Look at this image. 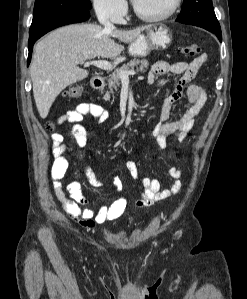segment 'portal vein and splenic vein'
Returning a JSON list of instances; mask_svg holds the SVG:
<instances>
[{
  "label": "portal vein and splenic vein",
  "instance_id": "portal-vein-and-splenic-vein-1",
  "mask_svg": "<svg viewBox=\"0 0 247 299\" xmlns=\"http://www.w3.org/2000/svg\"><path fill=\"white\" fill-rule=\"evenodd\" d=\"M90 65H94L100 69L103 70H112L113 69V65L111 63H109L106 60H96V61H87L84 64V67H88ZM135 71L131 70V71H119V75L120 78L122 80H128L129 79V75H134Z\"/></svg>",
  "mask_w": 247,
  "mask_h": 299
}]
</instances>
